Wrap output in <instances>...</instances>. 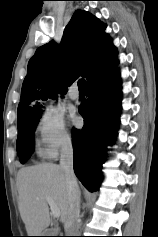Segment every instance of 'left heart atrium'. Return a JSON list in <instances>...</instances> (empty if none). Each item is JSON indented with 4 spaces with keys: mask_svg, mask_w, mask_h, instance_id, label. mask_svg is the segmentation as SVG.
<instances>
[{
    "mask_svg": "<svg viewBox=\"0 0 158 237\" xmlns=\"http://www.w3.org/2000/svg\"><path fill=\"white\" fill-rule=\"evenodd\" d=\"M72 122L75 126H79L81 124V120L79 117L77 116H74L73 119H72Z\"/></svg>",
    "mask_w": 158,
    "mask_h": 237,
    "instance_id": "39dd6f15",
    "label": "left heart atrium"
}]
</instances>
